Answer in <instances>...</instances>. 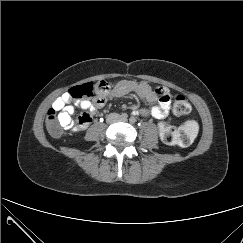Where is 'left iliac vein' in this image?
I'll use <instances>...</instances> for the list:
<instances>
[{"label": "left iliac vein", "instance_id": "4c4485c4", "mask_svg": "<svg viewBox=\"0 0 243 243\" xmlns=\"http://www.w3.org/2000/svg\"><path fill=\"white\" fill-rule=\"evenodd\" d=\"M123 122H126L127 120L126 119H121Z\"/></svg>", "mask_w": 243, "mask_h": 243}]
</instances>
